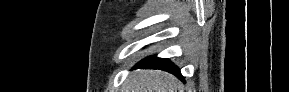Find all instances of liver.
<instances>
[{"instance_id": "1", "label": "liver", "mask_w": 289, "mask_h": 92, "mask_svg": "<svg viewBox=\"0 0 289 92\" xmlns=\"http://www.w3.org/2000/svg\"><path fill=\"white\" fill-rule=\"evenodd\" d=\"M181 87L175 76L157 70H136L123 84L124 92H181Z\"/></svg>"}]
</instances>
